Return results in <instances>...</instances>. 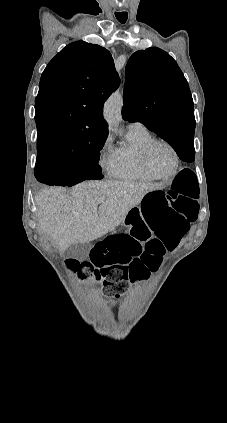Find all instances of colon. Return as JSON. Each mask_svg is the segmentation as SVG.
<instances>
[{"instance_id":"obj_1","label":"colon","mask_w":227,"mask_h":423,"mask_svg":"<svg viewBox=\"0 0 227 423\" xmlns=\"http://www.w3.org/2000/svg\"><path fill=\"white\" fill-rule=\"evenodd\" d=\"M198 199L195 175L181 171L170 187L146 194L142 217L150 231L135 221L129 233L110 235L96 243L90 260H69V266L81 278L101 281L104 291L122 295L128 283L155 271L165 252L174 249L188 232L198 216Z\"/></svg>"}]
</instances>
